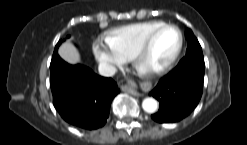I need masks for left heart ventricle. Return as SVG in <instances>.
<instances>
[{
    "mask_svg": "<svg viewBox=\"0 0 247 145\" xmlns=\"http://www.w3.org/2000/svg\"><path fill=\"white\" fill-rule=\"evenodd\" d=\"M179 42L178 33L173 28L159 32L142 61L145 70L157 68L165 64L174 54Z\"/></svg>",
    "mask_w": 247,
    "mask_h": 145,
    "instance_id": "obj_1",
    "label": "left heart ventricle"
}]
</instances>
